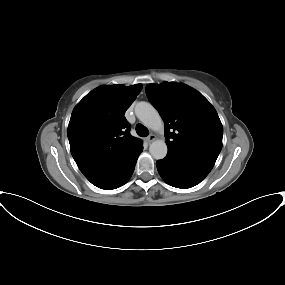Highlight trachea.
Masks as SVG:
<instances>
[{
  "label": "trachea",
  "mask_w": 285,
  "mask_h": 285,
  "mask_svg": "<svg viewBox=\"0 0 285 285\" xmlns=\"http://www.w3.org/2000/svg\"><path fill=\"white\" fill-rule=\"evenodd\" d=\"M136 132L141 137H146L149 134L148 129L142 124L136 126Z\"/></svg>",
  "instance_id": "1"
}]
</instances>
